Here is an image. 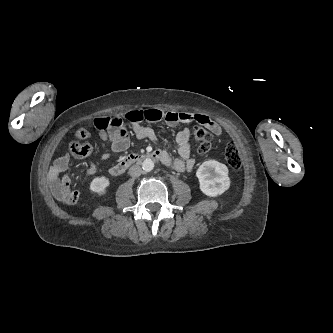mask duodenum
<instances>
[{
  "mask_svg": "<svg viewBox=\"0 0 333 333\" xmlns=\"http://www.w3.org/2000/svg\"><path fill=\"white\" fill-rule=\"evenodd\" d=\"M158 160L164 162V157L159 151L147 152V153H132L121 159L110 168V172L113 175L119 176L125 173V171L134 164L142 163L146 160Z\"/></svg>",
  "mask_w": 333,
  "mask_h": 333,
  "instance_id": "1",
  "label": "duodenum"
}]
</instances>
